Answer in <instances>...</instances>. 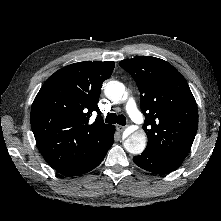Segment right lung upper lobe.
Returning a JSON list of instances; mask_svg holds the SVG:
<instances>
[{"mask_svg":"<svg viewBox=\"0 0 221 221\" xmlns=\"http://www.w3.org/2000/svg\"><path fill=\"white\" fill-rule=\"evenodd\" d=\"M112 61H84L68 65L47 79L31 109V127L37 147L58 172L90 160L108 145L113 125L99 116L89 123Z\"/></svg>","mask_w":221,"mask_h":221,"instance_id":"1","label":"right lung upper lobe"}]
</instances>
